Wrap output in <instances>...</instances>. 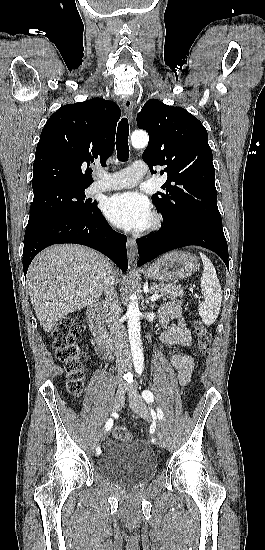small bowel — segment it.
Returning <instances> with one entry per match:
<instances>
[{
	"instance_id": "1",
	"label": "small bowel",
	"mask_w": 265,
	"mask_h": 550,
	"mask_svg": "<svg viewBox=\"0 0 265 550\" xmlns=\"http://www.w3.org/2000/svg\"><path fill=\"white\" fill-rule=\"evenodd\" d=\"M159 315L163 327L160 335L161 341L167 346L190 348L192 345V338L181 316V303L179 301H172L164 304L160 308ZM169 318H174L177 321L175 326L171 328L166 327ZM105 355L108 357L109 353H105ZM171 363L178 372V381L180 385H187L191 380L194 369L192 355L187 351L174 353L171 356Z\"/></svg>"
}]
</instances>
